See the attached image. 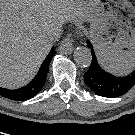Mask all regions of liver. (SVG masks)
<instances>
[{
  "label": "liver",
  "mask_w": 135,
  "mask_h": 135,
  "mask_svg": "<svg viewBox=\"0 0 135 135\" xmlns=\"http://www.w3.org/2000/svg\"><path fill=\"white\" fill-rule=\"evenodd\" d=\"M83 14L74 0H0V86L29 83L50 51L47 38Z\"/></svg>",
  "instance_id": "obj_1"
}]
</instances>
